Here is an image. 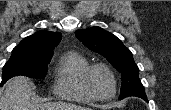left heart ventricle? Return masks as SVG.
<instances>
[{
  "instance_id": "b2bd125f",
  "label": "left heart ventricle",
  "mask_w": 171,
  "mask_h": 110,
  "mask_svg": "<svg viewBox=\"0 0 171 110\" xmlns=\"http://www.w3.org/2000/svg\"><path fill=\"white\" fill-rule=\"evenodd\" d=\"M93 91L100 97H107L113 92V83L109 74L103 69L95 70L91 75Z\"/></svg>"
}]
</instances>
